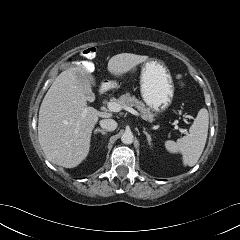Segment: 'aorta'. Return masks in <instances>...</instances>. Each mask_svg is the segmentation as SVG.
<instances>
[{"label":"aorta","instance_id":"obj_1","mask_svg":"<svg viewBox=\"0 0 240 240\" xmlns=\"http://www.w3.org/2000/svg\"><path fill=\"white\" fill-rule=\"evenodd\" d=\"M134 140V136L132 132H125L123 133V135L121 136V141L124 144H132Z\"/></svg>","mask_w":240,"mask_h":240}]
</instances>
